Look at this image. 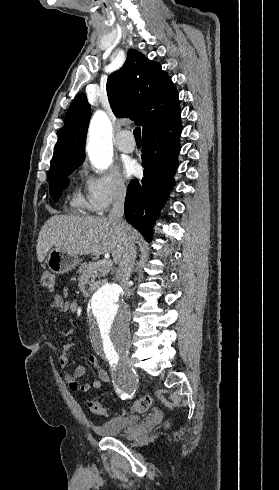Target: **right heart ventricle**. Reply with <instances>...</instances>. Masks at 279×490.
<instances>
[{
  "label": "right heart ventricle",
  "instance_id": "1",
  "mask_svg": "<svg viewBox=\"0 0 279 490\" xmlns=\"http://www.w3.org/2000/svg\"><path fill=\"white\" fill-rule=\"evenodd\" d=\"M75 204H76L77 206H82V205H83V203L81 202V200H80V199H76V200H75Z\"/></svg>",
  "mask_w": 279,
  "mask_h": 490
}]
</instances>
